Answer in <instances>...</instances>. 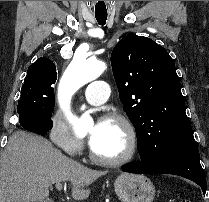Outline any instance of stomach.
Segmentation results:
<instances>
[{"instance_id": "obj_1", "label": "stomach", "mask_w": 209, "mask_h": 202, "mask_svg": "<svg viewBox=\"0 0 209 202\" xmlns=\"http://www.w3.org/2000/svg\"><path fill=\"white\" fill-rule=\"evenodd\" d=\"M114 189L122 202H152L155 196L153 183L144 175L123 173L116 178Z\"/></svg>"}]
</instances>
